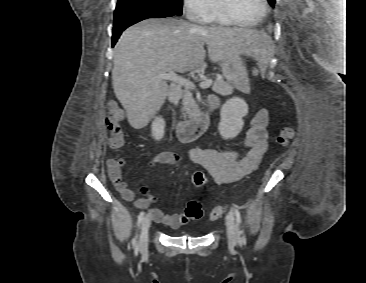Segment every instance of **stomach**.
Segmentation results:
<instances>
[{"label":"stomach","mask_w":366,"mask_h":283,"mask_svg":"<svg viewBox=\"0 0 366 283\" xmlns=\"http://www.w3.org/2000/svg\"><path fill=\"white\" fill-rule=\"evenodd\" d=\"M220 66L226 80L230 84L240 88L243 80L241 78V73L245 72V67L240 58V54H233L232 57L223 59Z\"/></svg>","instance_id":"1"}]
</instances>
